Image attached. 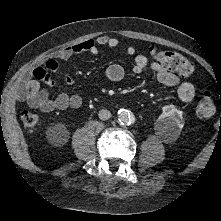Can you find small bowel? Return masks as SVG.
<instances>
[{"label": "small bowel", "mask_w": 221, "mask_h": 221, "mask_svg": "<svg viewBox=\"0 0 221 221\" xmlns=\"http://www.w3.org/2000/svg\"><path fill=\"white\" fill-rule=\"evenodd\" d=\"M121 45V41L117 37L101 35L96 39H86L72 46L64 47L56 51L50 58L35 68L30 76L26 77L17 89V98L25 101L31 108L39 109L43 112H52L55 110H65L68 108H78L82 104V98L79 95H69L61 93L52 98L46 89L41 88V83H45L49 87L55 85L52 74L58 75L67 84L71 85L73 79L70 76L63 75L59 61H65L72 56L81 53H90L97 55L99 47L117 48ZM125 51L129 55L135 54L133 46H127ZM148 66L146 56L136 55L134 60L133 72L141 73ZM151 71L155 74L159 83L166 87H176L177 93L181 101L190 102L195 96V87L190 82H181L179 77L166 69L158 62L149 64ZM106 77L112 82H120L125 76V70L120 64H111L106 69Z\"/></svg>", "instance_id": "1"}]
</instances>
